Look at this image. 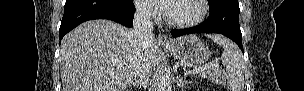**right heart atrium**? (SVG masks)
Listing matches in <instances>:
<instances>
[{
  "instance_id": "1",
  "label": "right heart atrium",
  "mask_w": 304,
  "mask_h": 91,
  "mask_svg": "<svg viewBox=\"0 0 304 91\" xmlns=\"http://www.w3.org/2000/svg\"><path fill=\"white\" fill-rule=\"evenodd\" d=\"M139 13L141 16H143L145 18H151V17L155 16L154 10L149 7H146V6H140Z\"/></svg>"
}]
</instances>
